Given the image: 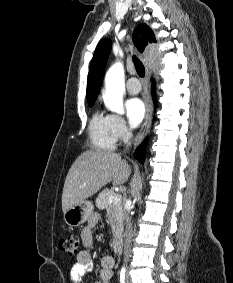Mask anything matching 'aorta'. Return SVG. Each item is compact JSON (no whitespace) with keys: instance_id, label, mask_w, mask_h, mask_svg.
Returning a JSON list of instances; mask_svg holds the SVG:
<instances>
[{"instance_id":"762f6f07","label":"aorta","mask_w":233,"mask_h":283,"mask_svg":"<svg viewBox=\"0 0 233 283\" xmlns=\"http://www.w3.org/2000/svg\"><path fill=\"white\" fill-rule=\"evenodd\" d=\"M124 90V67L122 63L116 62L109 68L105 76V93L103 94V100L110 111L118 114L124 113Z\"/></svg>"}]
</instances>
